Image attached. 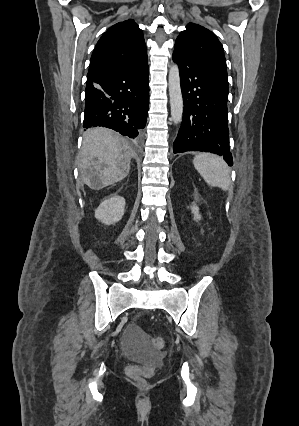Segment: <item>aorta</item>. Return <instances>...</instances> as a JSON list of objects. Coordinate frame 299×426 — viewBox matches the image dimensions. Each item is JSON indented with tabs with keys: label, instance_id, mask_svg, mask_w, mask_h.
<instances>
[{
	"label": "aorta",
	"instance_id": "1",
	"mask_svg": "<svg viewBox=\"0 0 299 426\" xmlns=\"http://www.w3.org/2000/svg\"><path fill=\"white\" fill-rule=\"evenodd\" d=\"M168 88L171 107V118L174 124L182 121L183 117V97L180 84V74L177 64H173L169 70Z\"/></svg>",
	"mask_w": 299,
	"mask_h": 426
}]
</instances>
